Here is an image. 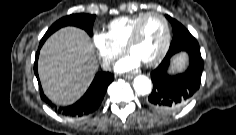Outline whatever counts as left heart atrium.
Masks as SVG:
<instances>
[{
    "mask_svg": "<svg viewBox=\"0 0 236 135\" xmlns=\"http://www.w3.org/2000/svg\"><path fill=\"white\" fill-rule=\"evenodd\" d=\"M140 63L141 60L130 53L116 63L115 70L121 73L132 71L137 69L140 66Z\"/></svg>",
    "mask_w": 236,
    "mask_h": 135,
    "instance_id": "1",
    "label": "left heart atrium"
}]
</instances>
